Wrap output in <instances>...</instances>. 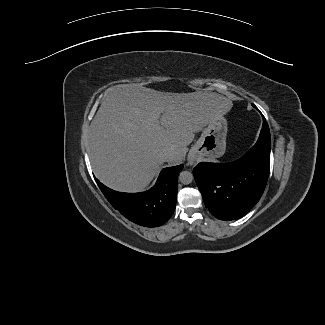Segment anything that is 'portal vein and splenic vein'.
I'll return each instance as SVG.
<instances>
[{
	"instance_id": "portal-vein-and-splenic-vein-1",
	"label": "portal vein and splenic vein",
	"mask_w": 325,
	"mask_h": 325,
	"mask_svg": "<svg viewBox=\"0 0 325 325\" xmlns=\"http://www.w3.org/2000/svg\"><path fill=\"white\" fill-rule=\"evenodd\" d=\"M163 112V109L162 108H160V109H158V111H157V113H158V116L160 117V114Z\"/></svg>"
}]
</instances>
